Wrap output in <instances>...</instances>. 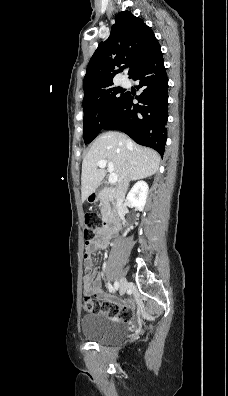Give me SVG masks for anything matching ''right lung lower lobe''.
<instances>
[{"mask_svg":"<svg viewBox=\"0 0 228 396\" xmlns=\"http://www.w3.org/2000/svg\"><path fill=\"white\" fill-rule=\"evenodd\" d=\"M132 79L139 81L137 88L142 93L136 99L140 104H133V96L127 93L103 129H119L138 144L163 155L167 137L168 77L160 45Z\"/></svg>","mask_w":228,"mask_h":396,"instance_id":"right-lung-lower-lobe-1","label":"right lung lower lobe"}]
</instances>
